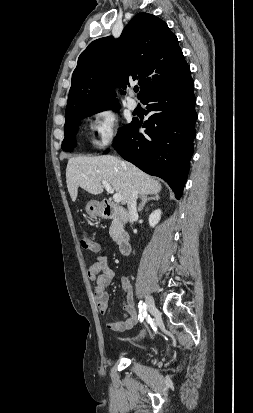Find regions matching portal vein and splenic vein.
Segmentation results:
<instances>
[{"label": "portal vein and splenic vein", "instance_id": "portal-vein-and-splenic-vein-1", "mask_svg": "<svg viewBox=\"0 0 253 413\" xmlns=\"http://www.w3.org/2000/svg\"><path fill=\"white\" fill-rule=\"evenodd\" d=\"M102 185L107 190L108 193L113 194L114 202H116V203L121 202V199H122L121 194H119V193L114 194L113 188L110 186V184L107 181H103Z\"/></svg>", "mask_w": 253, "mask_h": 413}]
</instances>
